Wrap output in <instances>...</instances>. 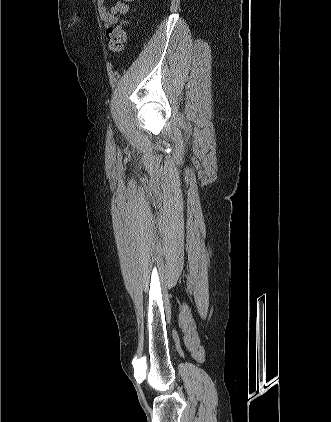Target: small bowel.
<instances>
[{
	"mask_svg": "<svg viewBox=\"0 0 331 422\" xmlns=\"http://www.w3.org/2000/svg\"><path fill=\"white\" fill-rule=\"evenodd\" d=\"M127 1L132 0H118L112 7L108 8L106 0H96L99 17L105 26L115 24L121 15L128 13L129 5L126 3Z\"/></svg>",
	"mask_w": 331,
	"mask_h": 422,
	"instance_id": "1",
	"label": "small bowel"
}]
</instances>
